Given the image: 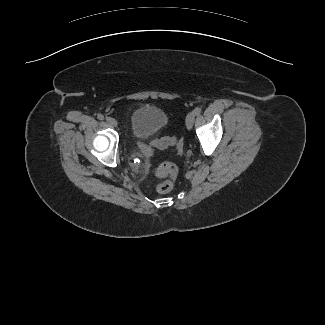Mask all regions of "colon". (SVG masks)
<instances>
[{"label": "colon", "mask_w": 325, "mask_h": 325, "mask_svg": "<svg viewBox=\"0 0 325 325\" xmlns=\"http://www.w3.org/2000/svg\"><path fill=\"white\" fill-rule=\"evenodd\" d=\"M176 142V138L164 137L153 142L152 146L147 149V154L152 155L154 148L164 149ZM157 177L163 180L156 185V191L159 193H168L172 190L178 175V168L175 164L167 162L159 165L155 169Z\"/></svg>", "instance_id": "1"}]
</instances>
